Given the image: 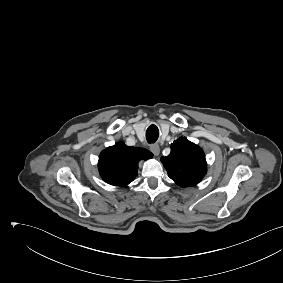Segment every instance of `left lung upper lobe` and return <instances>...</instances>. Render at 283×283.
Listing matches in <instances>:
<instances>
[{"label":"left lung upper lobe","instance_id":"obj_1","mask_svg":"<svg viewBox=\"0 0 283 283\" xmlns=\"http://www.w3.org/2000/svg\"><path fill=\"white\" fill-rule=\"evenodd\" d=\"M169 177L181 187L198 184L207 172V163L203 150L185 137L171 144V153L161 157Z\"/></svg>","mask_w":283,"mask_h":283}]
</instances>
